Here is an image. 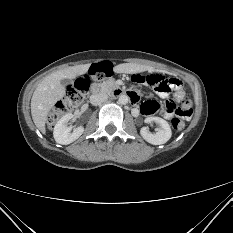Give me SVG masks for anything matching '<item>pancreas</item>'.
<instances>
[{
  "mask_svg": "<svg viewBox=\"0 0 233 233\" xmlns=\"http://www.w3.org/2000/svg\"><path fill=\"white\" fill-rule=\"evenodd\" d=\"M102 90L111 91L117 87L116 81L114 79H108L100 84Z\"/></svg>",
  "mask_w": 233,
  "mask_h": 233,
  "instance_id": "obj_1",
  "label": "pancreas"
}]
</instances>
